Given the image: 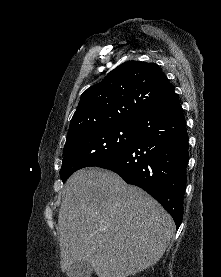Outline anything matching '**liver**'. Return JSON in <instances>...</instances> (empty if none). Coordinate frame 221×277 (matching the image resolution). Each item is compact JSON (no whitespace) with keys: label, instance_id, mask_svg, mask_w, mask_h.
<instances>
[{"label":"liver","instance_id":"1","mask_svg":"<svg viewBox=\"0 0 221 277\" xmlns=\"http://www.w3.org/2000/svg\"><path fill=\"white\" fill-rule=\"evenodd\" d=\"M173 231L170 214L142 189L109 170H78L58 215L61 269L83 260L98 277L136 275L160 260Z\"/></svg>","mask_w":221,"mask_h":277}]
</instances>
